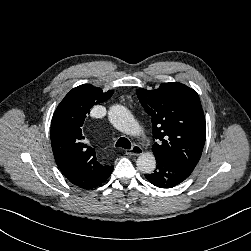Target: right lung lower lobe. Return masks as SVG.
Instances as JSON below:
<instances>
[{
    "instance_id": "1",
    "label": "right lung lower lobe",
    "mask_w": 251,
    "mask_h": 251,
    "mask_svg": "<svg viewBox=\"0 0 251 251\" xmlns=\"http://www.w3.org/2000/svg\"><path fill=\"white\" fill-rule=\"evenodd\" d=\"M112 170H113V166H111V168L107 172H105L104 175H102L100 177V179H98L95 183H93L92 185L88 186L85 189H92V188L99 186L101 183H103L110 176V174L112 173Z\"/></svg>"
}]
</instances>
